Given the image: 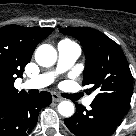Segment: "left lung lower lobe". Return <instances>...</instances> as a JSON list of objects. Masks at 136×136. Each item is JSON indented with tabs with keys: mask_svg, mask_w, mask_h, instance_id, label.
Instances as JSON below:
<instances>
[{
	"mask_svg": "<svg viewBox=\"0 0 136 136\" xmlns=\"http://www.w3.org/2000/svg\"><path fill=\"white\" fill-rule=\"evenodd\" d=\"M91 109L76 104L75 114L65 124L76 136H109L120 124L128 108L93 100Z\"/></svg>",
	"mask_w": 136,
	"mask_h": 136,
	"instance_id": "left-lung-lower-lobe-1",
	"label": "left lung lower lobe"
}]
</instances>
